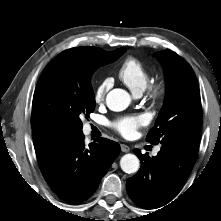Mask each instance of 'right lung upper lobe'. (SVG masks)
I'll return each instance as SVG.
<instances>
[{
	"instance_id": "obj_1",
	"label": "right lung upper lobe",
	"mask_w": 221,
	"mask_h": 221,
	"mask_svg": "<svg viewBox=\"0 0 221 221\" xmlns=\"http://www.w3.org/2000/svg\"><path fill=\"white\" fill-rule=\"evenodd\" d=\"M93 48H95V47H78V48H73V49H76V50H81V51H90V50H93ZM122 48H119V50H121ZM31 124H32V128H33V131H32V136H33V140L35 141V140H39V139H41V138H44V137H46V136H49V135H47V134H39V133H36V131L34 130V122H31Z\"/></svg>"
}]
</instances>
